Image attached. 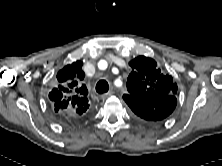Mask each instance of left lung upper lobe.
<instances>
[{
  "instance_id": "obj_1",
  "label": "left lung upper lobe",
  "mask_w": 222,
  "mask_h": 166,
  "mask_svg": "<svg viewBox=\"0 0 222 166\" xmlns=\"http://www.w3.org/2000/svg\"><path fill=\"white\" fill-rule=\"evenodd\" d=\"M129 65L132 72L126 83L128 93L123 95V99L136 115L138 110L149 113V107L156 109L154 107L161 105L162 98L177 93L172 76L164 75L153 59L139 56Z\"/></svg>"
}]
</instances>
